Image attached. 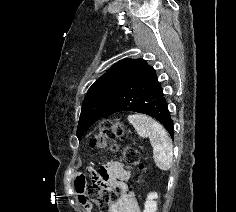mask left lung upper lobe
I'll return each mask as SVG.
<instances>
[{"label":"left lung upper lobe","instance_id":"obj_1","mask_svg":"<svg viewBox=\"0 0 236 212\" xmlns=\"http://www.w3.org/2000/svg\"><path fill=\"white\" fill-rule=\"evenodd\" d=\"M142 59H125L113 65L89 88L83 101L77 128V137L107 110L114 98L128 82Z\"/></svg>","mask_w":236,"mask_h":212}]
</instances>
